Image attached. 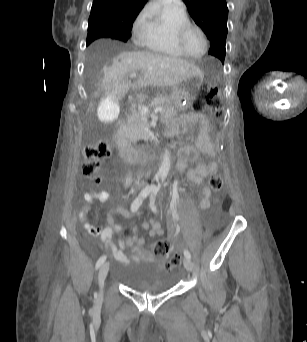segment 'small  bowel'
Returning <instances> with one entry per match:
<instances>
[{
  "instance_id": "c3829d8e",
  "label": "small bowel",
  "mask_w": 307,
  "mask_h": 342,
  "mask_svg": "<svg viewBox=\"0 0 307 342\" xmlns=\"http://www.w3.org/2000/svg\"><path fill=\"white\" fill-rule=\"evenodd\" d=\"M193 129H197V134L192 144L180 149L176 170L183 171L187 169L190 164H195L194 167L188 169L187 176L191 182L202 186L199 195L198 208L206 210L210 207L211 190L204 184V179L219 171L217 149L215 141L210 136L213 131V126L208 117L200 113L190 114L186 130ZM200 155L206 156L209 162H202L200 160ZM109 198V194L105 191H87L84 194L87 206L82 208L79 213V218L82 221L87 234L98 236L101 239L102 246L109 249L116 260L123 263H129L130 258L126 253V248L135 247L141 249L145 245V239L137 235L136 226L132 227V234L130 236H125L122 234V227L115 223L114 215L116 213L127 220L131 218L130 213L126 209L121 207L111 209L106 216L108 222L106 227H94L86 221V215L90 211L92 204L95 201L106 202ZM142 228L149 231V236L151 238L161 236L164 233L159 221L154 219L150 222H144ZM115 235L118 236L117 244L112 239Z\"/></svg>"
}]
</instances>
